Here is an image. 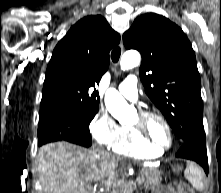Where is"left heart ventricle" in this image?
<instances>
[{
	"mask_svg": "<svg viewBox=\"0 0 221 193\" xmlns=\"http://www.w3.org/2000/svg\"><path fill=\"white\" fill-rule=\"evenodd\" d=\"M138 115L135 117L133 123L137 121ZM147 131L151 138L160 146L167 147L169 145V136L166 128L156 118H150L146 123Z\"/></svg>",
	"mask_w": 221,
	"mask_h": 193,
	"instance_id": "obj_1",
	"label": "left heart ventricle"
}]
</instances>
